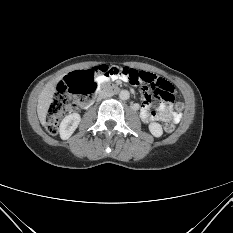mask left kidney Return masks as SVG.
<instances>
[{
  "mask_svg": "<svg viewBox=\"0 0 233 233\" xmlns=\"http://www.w3.org/2000/svg\"><path fill=\"white\" fill-rule=\"evenodd\" d=\"M149 131L155 137H161L163 134L162 126L157 122H152L149 124Z\"/></svg>",
  "mask_w": 233,
  "mask_h": 233,
  "instance_id": "1",
  "label": "left kidney"
}]
</instances>
